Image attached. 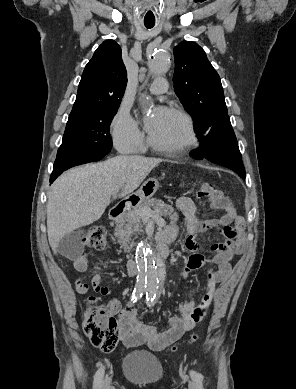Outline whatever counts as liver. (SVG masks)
Masks as SVG:
<instances>
[{
  "label": "liver",
  "instance_id": "obj_1",
  "mask_svg": "<svg viewBox=\"0 0 296 389\" xmlns=\"http://www.w3.org/2000/svg\"><path fill=\"white\" fill-rule=\"evenodd\" d=\"M160 162L162 159L120 155L61 175L47 201V233L54 254L62 237L97 221L116 191L121 189L119 197L131 194Z\"/></svg>",
  "mask_w": 296,
  "mask_h": 389
}]
</instances>
